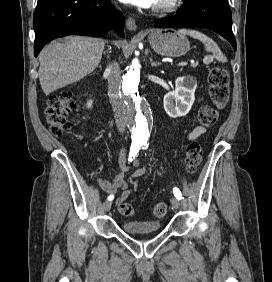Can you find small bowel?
<instances>
[{
    "label": "small bowel",
    "mask_w": 272,
    "mask_h": 282,
    "mask_svg": "<svg viewBox=\"0 0 272 282\" xmlns=\"http://www.w3.org/2000/svg\"><path fill=\"white\" fill-rule=\"evenodd\" d=\"M205 131V127L199 126L194 128L187 137L188 141L194 140L197 137H199L201 134H203ZM127 160L128 153L127 151H122L119 158V164L123 171L127 168ZM132 164L136 167V170L133 172V178L129 180V185L124 183V173L120 172L116 174L112 179L110 180H103L98 178L97 182L100 185V187L108 194H115L119 188H121V194L116 199V205L119 207V205L130 196V194L137 190L139 187V183L136 180V177L142 176L146 173V168L141 166L139 161L134 159L132 157L131 159Z\"/></svg>",
    "instance_id": "small-bowel-1"
}]
</instances>
